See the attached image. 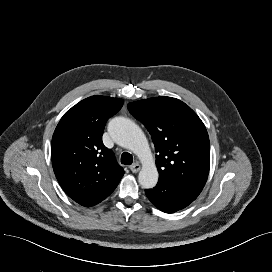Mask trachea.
<instances>
[{
	"mask_svg": "<svg viewBox=\"0 0 272 272\" xmlns=\"http://www.w3.org/2000/svg\"><path fill=\"white\" fill-rule=\"evenodd\" d=\"M132 162H133V157H132V155L130 153L124 152L121 155V163L122 164L130 165V164H132Z\"/></svg>",
	"mask_w": 272,
	"mask_h": 272,
	"instance_id": "3493384b",
	"label": "trachea"
}]
</instances>
